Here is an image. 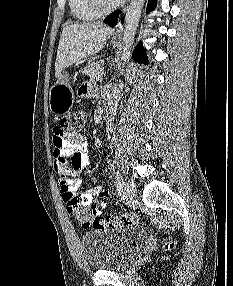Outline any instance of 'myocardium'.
Masks as SVG:
<instances>
[{"label":"myocardium","instance_id":"1","mask_svg":"<svg viewBox=\"0 0 233 286\" xmlns=\"http://www.w3.org/2000/svg\"><path fill=\"white\" fill-rule=\"evenodd\" d=\"M91 5L93 9L99 14V15H105L112 11H114L120 3H113L111 5H105L102 0H90Z\"/></svg>","mask_w":233,"mask_h":286}]
</instances>
